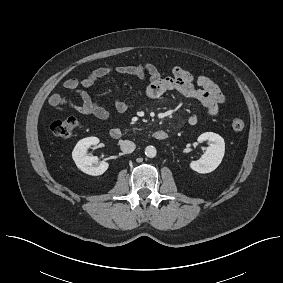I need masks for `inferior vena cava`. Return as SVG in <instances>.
Wrapping results in <instances>:
<instances>
[{
	"label": "inferior vena cava",
	"mask_w": 283,
	"mask_h": 283,
	"mask_svg": "<svg viewBox=\"0 0 283 283\" xmlns=\"http://www.w3.org/2000/svg\"><path fill=\"white\" fill-rule=\"evenodd\" d=\"M120 148L123 153L130 154L135 150L136 145L132 141L124 140L120 142Z\"/></svg>",
	"instance_id": "602c4592"
}]
</instances>
